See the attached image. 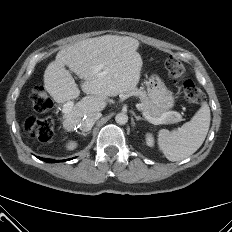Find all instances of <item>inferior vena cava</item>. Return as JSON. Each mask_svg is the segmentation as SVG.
Returning <instances> with one entry per match:
<instances>
[{
  "instance_id": "obj_1",
  "label": "inferior vena cava",
  "mask_w": 232,
  "mask_h": 232,
  "mask_svg": "<svg viewBox=\"0 0 232 232\" xmlns=\"http://www.w3.org/2000/svg\"><path fill=\"white\" fill-rule=\"evenodd\" d=\"M101 115L102 114L100 112H94V113H90V114L84 116V118L81 120V122L79 124V128L82 131L91 130L94 123L101 117Z\"/></svg>"
}]
</instances>
